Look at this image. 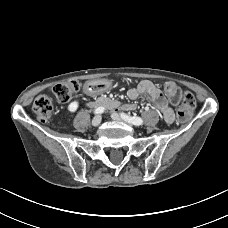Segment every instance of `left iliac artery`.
<instances>
[{"instance_id":"left-iliac-artery-1","label":"left iliac artery","mask_w":228,"mask_h":228,"mask_svg":"<svg viewBox=\"0 0 228 228\" xmlns=\"http://www.w3.org/2000/svg\"><path fill=\"white\" fill-rule=\"evenodd\" d=\"M121 117L125 120H127L128 122L136 125V126H139V125H142L143 124V119L140 118V117H132V116H128L127 114L125 113H121Z\"/></svg>"}]
</instances>
